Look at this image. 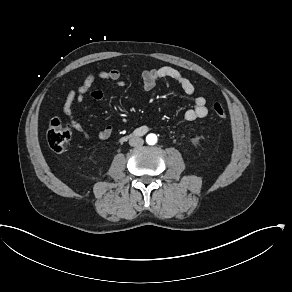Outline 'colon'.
<instances>
[{
	"instance_id": "5ec220e1",
	"label": "colon",
	"mask_w": 292,
	"mask_h": 292,
	"mask_svg": "<svg viewBox=\"0 0 292 292\" xmlns=\"http://www.w3.org/2000/svg\"><path fill=\"white\" fill-rule=\"evenodd\" d=\"M214 114L221 120L227 118L225 108L219 102H215L212 105ZM71 139V128L60 118H54L50 122V127L47 131V143L56 154H62Z\"/></svg>"
}]
</instances>
